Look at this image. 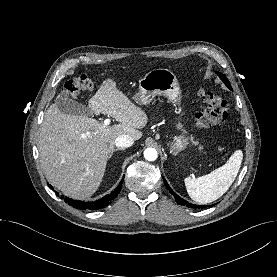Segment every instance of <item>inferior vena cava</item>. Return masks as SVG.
Returning <instances> with one entry per match:
<instances>
[{"label":"inferior vena cava","mask_w":277,"mask_h":277,"mask_svg":"<svg viewBox=\"0 0 277 277\" xmlns=\"http://www.w3.org/2000/svg\"><path fill=\"white\" fill-rule=\"evenodd\" d=\"M133 138L129 135H120L115 140V145L120 148H127L133 145Z\"/></svg>","instance_id":"602c4592"}]
</instances>
